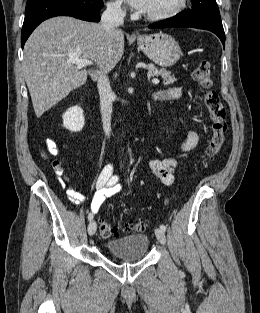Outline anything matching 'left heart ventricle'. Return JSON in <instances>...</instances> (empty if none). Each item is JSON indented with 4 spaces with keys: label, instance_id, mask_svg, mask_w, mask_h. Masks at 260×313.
I'll list each match as a JSON object with an SVG mask.
<instances>
[{
    "label": "left heart ventricle",
    "instance_id": "obj_1",
    "mask_svg": "<svg viewBox=\"0 0 260 313\" xmlns=\"http://www.w3.org/2000/svg\"><path fill=\"white\" fill-rule=\"evenodd\" d=\"M178 0H148L145 13L156 14L163 13L173 8Z\"/></svg>",
    "mask_w": 260,
    "mask_h": 313
}]
</instances>
